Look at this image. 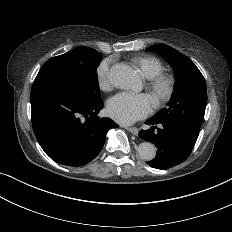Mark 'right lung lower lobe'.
Masks as SVG:
<instances>
[{"mask_svg": "<svg viewBox=\"0 0 232 232\" xmlns=\"http://www.w3.org/2000/svg\"><path fill=\"white\" fill-rule=\"evenodd\" d=\"M102 99L89 101L60 67H41L31 90V119L35 136L55 162L82 166L101 151L106 133L119 127L99 118Z\"/></svg>", "mask_w": 232, "mask_h": 232, "instance_id": "obj_1", "label": "right lung lower lobe"}]
</instances>
